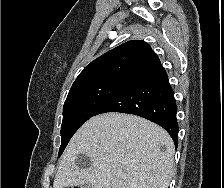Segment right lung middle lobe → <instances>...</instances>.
I'll use <instances>...</instances> for the list:
<instances>
[{"label":"right lung middle lobe","instance_id":"1","mask_svg":"<svg viewBox=\"0 0 224 188\" xmlns=\"http://www.w3.org/2000/svg\"><path fill=\"white\" fill-rule=\"evenodd\" d=\"M132 80L110 77L72 85L63 106L59 157L78 128Z\"/></svg>","mask_w":224,"mask_h":188}]
</instances>
